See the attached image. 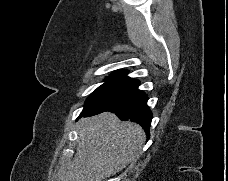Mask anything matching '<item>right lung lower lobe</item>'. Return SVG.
<instances>
[{
	"label": "right lung lower lobe",
	"mask_w": 228,
	"mask_h": 181,
	"mask_svg": "<svg viewBox=\"0 0 228 181\" xmlns=\"http://www.w3.org/2000/svg\"><path fill=\"white\" fill-rule=\"evenodd\" d=\"M139 82L133 80L118 96L104 105L83 111L79 117L93 116L105 111L116 113L123 120H131L142 126L149 139L152 113L147 106V95L138 89Z\"/></svg>",
	"instance_id": "right-lung-lower-lobe-1"
}]
</instances>
